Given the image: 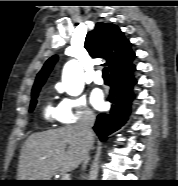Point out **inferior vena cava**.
<instances>
[{
  "instance_id": "inferior-vena-cava-1",
  "label": "inferior vena cava",
  "mask_w": 178,
  "mask_h": 186,
  "mask_svg": "<svg viewBox=\"0 0 178 186\" xmlns=\"http://www.w3.org/2000/svg\"><path fill=\"white\" fill-rule=\"evenodd\" d=\"M94 122H95L94 114L90 111H87L78 123V128H79L81 134L87 139L90 146L93 144V140H94V133L92 130ZM89 159L90 158H89L88 154H86L84 157V162H83V166H82L83 169L86 168V165H87Z\"/></svg>"
}]
</instances>
